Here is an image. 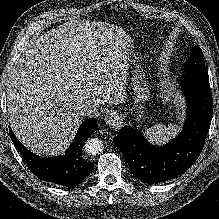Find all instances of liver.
I'll list each match as a JSON object with an SVG mask.
<instances>
[{"instance_id":"liver-1","label":"liver","mask_w":219,"mask_h":219,"mask_svg":"<svg viewBox=\"0 0 219 219\" xmlns=\"http://www.w3.org/2000/svg\"><path fill=\"white\" fill-rule=\"evenodd\" d=\"M122 28L73 20L40 36L16 60L7 84L11 128L39 155L62 154L83 118L77 106L124 101Z\"/></svg>"}]
</instances>
